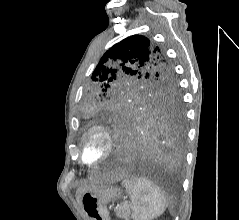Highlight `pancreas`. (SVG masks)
<instances>
[{"label":"pancreas","instance_id":"1","mask_svg":"<svg viewBox=\"0 0 239 220\" xmlns=\"http://www.w3.org/2000/svg\"><path fill=\"white\" fill-rule=\"evenodd\" d=\"M117 215L120 218H124L126 220H129L130 218V208L127 205H121L117 210Z\"/></svg>","mask_w":239,"mask_h":220}]
</instances>
